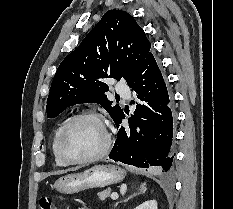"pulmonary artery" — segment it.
<instances>
[{
	"instance_id": "e3ab8cb5",
	"label": "pulmonary artery",
	"mask_w": 233,
	"mask_h": 209,
	"mask_svg": "<svg viewBox=\"0 0 233 209\" xmlns=\"http://www.w3.org/2000/svg\"><path fill=\"white\" fill-rule=\"evenodd\" d=\"M116 91L123 96H128L131 93V89L124 82L121 81L117 83Z\"/></svg>"
}]
</instances>
